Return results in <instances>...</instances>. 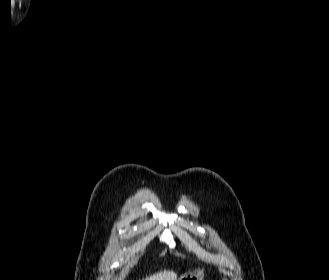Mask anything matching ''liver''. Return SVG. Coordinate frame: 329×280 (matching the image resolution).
Returning <instances> with one entry per match:
<instances>
[{
	"mask_svg": "<svg viewBox=\"0 0 329 280\" xmlns=\"http://www.w3.org/2000/svg\"><path fill=\"white\" fill-rule=\"evenodd\" d=\"M143 280H177V273L173 270H164L150 275Z\"/></svg>",
	"mask_w": 329,
	"mask_h": 280,
	"instance_id": "liver-1",
	"label": "liver"
}]
</instances>
